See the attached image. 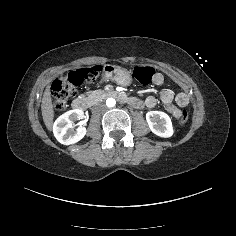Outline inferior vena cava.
Returning <instances> with one entry per match:
<instances>
[{
    "label": "inferior vena cava",
    "instance_id": "inferior-vena-cava-1",
    "mask_svg": "<svg viewBox=\"0 0 236 236\" xmlns=\"http://www.w3.org/2000/svg\"><path fill=\"white\" fill-rule=\"evenodd\" d=\"M105 110V105L103 103H97L92 107L93 113H102Z\"/></svg>",
    "mask_w": 236,
    "mask_h": 236
}]
</instances>
